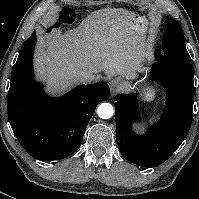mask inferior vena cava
Returning <instances> with one entry per match:
<instances>
[{
	"mask_svg": "<svg viewBox=\"0 0 199 199\" xmlns=\"http://www.w3.org/2000/svg\"><path fill=\"white\" fill-rule=\"evenodd\" d=\"M98 79V77H96L93 73L91 72H82L80 74V81L81 82H86V83H90L93 82L94 80Z\"/></svg>",
	"mask_w": 199,
	"mask_h": 199,
	"instance_id": "1",
	"label": "inferior vena cava"
}]
</instances>
